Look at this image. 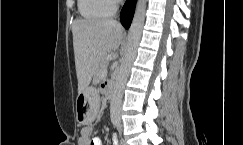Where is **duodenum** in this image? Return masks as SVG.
Masks as SVG:
<instances>
[{
	"label": "duodenum",
	"instance_id": "410a0bca",
	"mask_svg": "<svg viewBox=\"0 0 243 145\" xmlns=\"http://www.w3.org/2000/svg\"><path fill=\"white\" fill-rule=\"evenodd\" d=\"M107 96H108V99H112V97H113L112 88H108V90H107Z\"/></svg>",
	"mask_w": 243,
	"mask_h": 145
}]
</instances>
